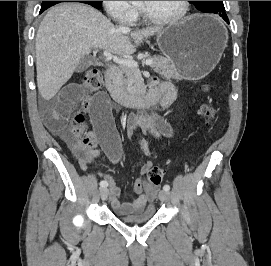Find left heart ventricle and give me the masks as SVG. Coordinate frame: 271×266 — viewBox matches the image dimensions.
Returning <instances> with one entry per match:
<instances>
[{
    "label": "left heart ventricle",
    "instance_id": "obj_1",
    "mask_svg": "<svg viewBox=\"0 0 271 266\" xmlns=\"http://www.w3.org/2000/svg\"><path fill=\"white\" fill-rule=\"evenodd\" d=\"M141 6L153 17L166 18L181 10V1H142Z\"/></svg>",
    "mask_w": 271,
    "mask_h": 266
}]
</instances>
